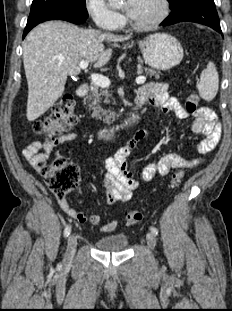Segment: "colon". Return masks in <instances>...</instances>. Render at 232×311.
Masks as SVG:
<instances>
[{
    "mask_svg": "<svg viewBox=\"0 0 232 311\" xmlns=\"http://www.w3.org/2000/svg\"><path fill=\"white\" fill-rule=\"evenodd\" d=\"M199 104V96L195 92L187 95L185 107L187 112L195 113ZM75 103L71 96L62 97L54 106L51 114L37 120L32 125L35 134L42 135L47 141H52L64 131L74 125L76 121ZM40 173L46 180L49 189L57 196H65L71 192L77 185L79 180V171L77 168L66 162L62 157L48 161L42 160L38 162ZM184 172L178 169L171 176V186L183 178ZM144 215L142 212L134 210L125 214V222L128 225H136L140 223Z\"/></svg>",
    "mask_w": 232,
    "mask_h": 311,
    "instance_id": "5ec220e1",
    "label": "colon"
}]
</instances>
